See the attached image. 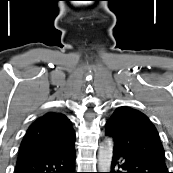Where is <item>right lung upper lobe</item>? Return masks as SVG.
<instances>
[{"label": "right lung upper lobe", "instance_id": "obj_1", "mask_svg": "<svg viewBox=\"0 0 173 173\" xmlns=\"http://www.w3.org/2000/svg\"><path fill=\"white\" fill-rule=\"evenodd\" d=\"M75 133L69 119L56 112H48L31 124L18 154V160L62 151L74 146Z\"/></svg>", "mask_w": 173, "mask_h": 173}]
</instances>
